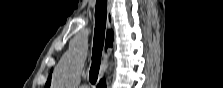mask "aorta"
<instances>
[{
	"mask_svg": "<svg viewBox=\"0 0 223 88\" xmlns=\"http://www.w3.org/2000/svg\"><path fill=\"white\" fill-rule=\"evenodd\" d=\"M85 47L77 43L61 58L54 75L53 86L55 88H75L80 80V72L86 60Z\"/></svg>",
	"mask_w": 223,
	"mask_h": 88,
	"instance_id": "1",
	"label": "aorta"
}]
</instances>
